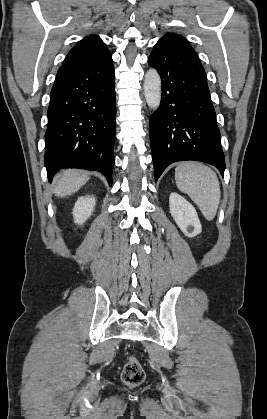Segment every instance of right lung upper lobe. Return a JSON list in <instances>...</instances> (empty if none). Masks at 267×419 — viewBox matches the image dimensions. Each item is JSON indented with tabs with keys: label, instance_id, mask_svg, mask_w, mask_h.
Wrapping results in <instances>:
<instances>
[{
	"label": "right lung upper lobe",
	"instance_id": "cb5924a9",
	"mask_svg": "<svg viewBox=\"0 0 267 419\" xmlns=\"http://www.w3.org/2000/svg\"><path fill=\"white\" fill-rule=\"evenodd\" d=\"M111 60L105 43L93 35L79 41L70 50L62 66L97 67Z\"/></svg>",
	"mask_w": 267,
	"mask_h": 419
}]
</instances>
